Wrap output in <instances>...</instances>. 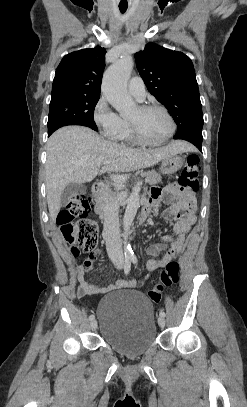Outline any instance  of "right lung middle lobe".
Returning a JSON list of instances; mask_svg holds the SVG:
<instances>
[{"label": "right lung middle lobe", "instance_id": "right-lung-middle-lobe-1", "mask_svg": "<svg viewBox=\"0 0 247 407\" xmlns=\"http://www.w3.org/2000/svg\"><path fill=\"white\" fill-rule=\"evenodd\" d=\"M100 96L60 94L52 96L48 132L66 125H83L97 131L94 109Z\"/></svg>", "mask_w": 247, "mask_h": 407}]
</instances>
